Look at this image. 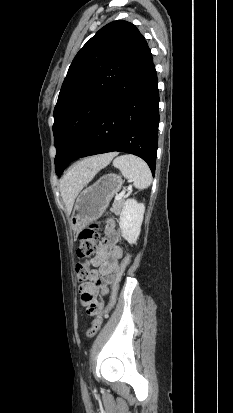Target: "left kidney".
<instances>
[{
	"label": "left kidney",
	"mask_w": 233,
	"mask_h": 413,
	"mask_svg": "<svg viewBox=\"0 0 233 413\" xmlns=\"http://www.w3.org/2000/svg\"><path fill=\"white\" fill-rule=\"evenodd\" d=\"M144 211V204L138 203L135 199H128L124 203L120 214L119 226L122 237L128 241L129 244L136 243L140 235Z\"/></svg>",
	"instance_id": "5707ae66"
}]
</instances>
